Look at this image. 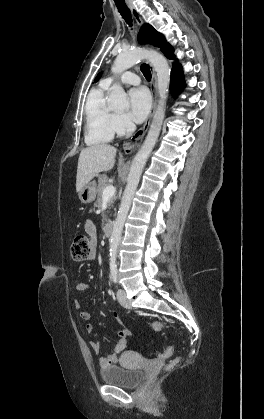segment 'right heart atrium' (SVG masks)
Returning <instances> with one entry per match:
<instances>
[{
    "instance_id": "d8ad5b80",
    "label": "right heart atrium",
    "mask_w": 264,
    "mask_h": 419,
    "mask_svg": "<svg viewBox=\"0 0 264 419\" xmlns=\"http://www.w3.org/2000/svg\"><path fill=\"white\" fill-rule=\"evenodd\" d=\"M112 124L114 133L117 135H123L134 128L132 121L125 113H114Z\"/></svg>"
}]
</instances>
